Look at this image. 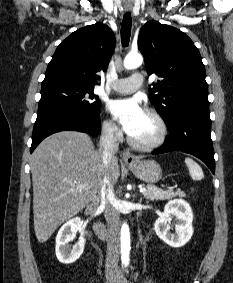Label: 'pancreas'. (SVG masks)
I'll list each match as a JSON object with an SVG mask.
<instances>
[{"mask_svg":"<svg viewBox=\"0 0 233 283\" xmlns=\"http://www.w3.org/2000/svg\"><path fill=\"white\" fill-rule=\"evenodd\" d=\"M147 191L143 193L144 197L151 201H158V200H170L176 196L184 197L185 193L182 192L180 189L173 191L168 190L164 191L156 186L147 185Z\"/></svg>","mask_w":233,"mask_h":283,"instance_id":"pancreas-1","label":"pancreas"}]
</instances>
